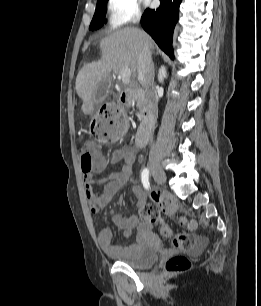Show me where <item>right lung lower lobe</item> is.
Wrapping results in <instances>:
<instances>
[{
	"label": "right lung lower lobe",
	"mask_w": 261,
	"mask_h": 306,
	"mask_svg": "<svg viewBox=\"0 0 261 306\" xmlns=\"http://www.w3.org/2000/svg\"><path fill=\"white\" fill-rule=\"evenodd\" d=\"M160 3L156 10L147 9L144 12L141 24L158 46L173 58L172 35L178 20L181 0H160Z\"/></svg>",
	"instance_id": "obj_1"
}]
</instances>
